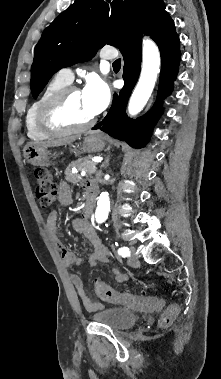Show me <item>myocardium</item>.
<instances>
[{
  "mask_svg": "<svg viewBox=\"0 0 221 379\" xmlns=\"http://www.w3.org/2000/svg\"><path fill=\"white\" fill-rule=\"evenodd\" d=\"M75 91H79L77 87L67 85L44 102L38 113V123L43 131L50 135H65L86 130L95 123L94 116L81 124H70L65 120L66 102Z\"/></svg>",
  "mask_w": 221,
  "mask_h": 379,
  "instance_id": "f54148a6",
  "label": "myocardium"
}]
</instances>
